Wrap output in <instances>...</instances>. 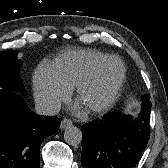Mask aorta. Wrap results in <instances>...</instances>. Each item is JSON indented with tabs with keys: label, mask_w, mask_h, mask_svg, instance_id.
<instances>
[{
	"label": "aorta",
	"mask_w": 168,
	"mask_h": 168,
	"mask_svg": "<svg viewBox=\"0 0 168 168\" xmlns=\"http://www.w3.org/2000/svg\"><path fill=\"white\" fill-rule=\"evenodd\" d=\"M64 140L69 145L76 146L82 141V132L76 126H69L65 129Z\"/></svg>",
	"instance_id": "obj_1"
}]
</instances>
